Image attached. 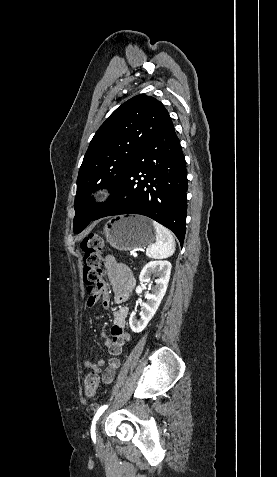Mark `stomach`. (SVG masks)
<instances>
[{"mask_svg": "<svg viewBox=\"0 0 277 477\" xmlns=\"http://www.w3.org/2000/svg\"><path fill=\"white\" fill-rule=\"evenodd\" d=\"M155 234L152 221L141 215L113 217L104 227L107 242L120 251L143 248L154 241Z\"/></svg>", "mask_w": 277, "mask_h": 477, "instance_id": "stomach-1", "label": "stomach"}]
</instances>
